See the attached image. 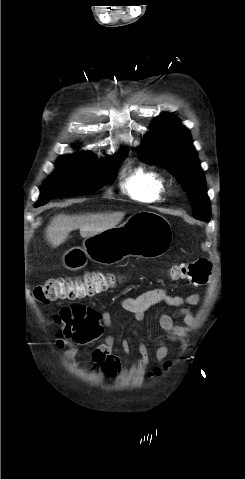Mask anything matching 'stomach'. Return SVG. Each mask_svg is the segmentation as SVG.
Wrapping results in <instances>:
<instances>
[{"label": "stomach", "mask_w": 245, "mask_h": 479, "mask_svg": "<svg viewBox=\"0 0 245 479\" xmlns=\"http://www.w3.org/2000/svg\"><path fill=\"white\" fill-rule=\"evenodd\" d=\"M171 242L169 221L158 213L141 211L119 227L86 238L82 247L68 250L63 255V264L70 270H78L88 259L107 266L130 256L153 259L165 254Z\"/></svg>", "instance_id": "1"}]
</instances>
